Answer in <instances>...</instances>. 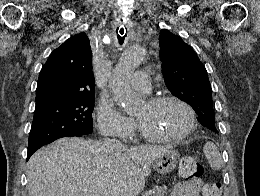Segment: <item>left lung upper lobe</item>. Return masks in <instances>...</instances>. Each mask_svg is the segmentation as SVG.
<instances>
[{
  "label": "left lung upper lobe",
  "mask_w": 260,
  "mask_h": 196,
  "mask_svg": "<svg viewBox=\"0 0 260 196\" xmlns=\"http://www.w3.org/2000/svg\"><path fill=\"white\" fill-rule=\"evenodd\" d=\"M159 42L162 72L170 92L188 103L197 113L214 114L207 71L194 50L166 29L160 31ZM214 125L215 121L205 127L217 133Z\"/></svg>",
  "instance_id": "left-lung-upper-lobe-1"
}]
</instances>
